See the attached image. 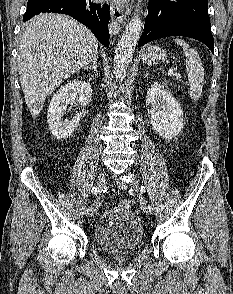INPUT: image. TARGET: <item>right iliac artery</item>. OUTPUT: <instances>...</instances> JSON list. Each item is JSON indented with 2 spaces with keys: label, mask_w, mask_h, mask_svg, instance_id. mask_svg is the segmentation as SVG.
<instances>
[{
  "label": "right iliac artery",
  "mask_w": 233,
  "mask_h": 294,
  "mask_svg": "<svg viewBox=\"0 0 233 294\" xmlns=\"http://www.w3.org/2000/svg\"><path fill=\"white\" fill-rule=\"evenodd\" d=\"M98 192H99L98 187H93L92 190H91V193H92V194H97ZM90 211H91V209L87 208V209L85 210V214H86V215H89V214H90Z\"/></svg>",
  "instance_id": "obj_1"
}]
</instances>
